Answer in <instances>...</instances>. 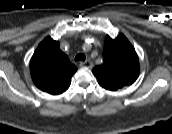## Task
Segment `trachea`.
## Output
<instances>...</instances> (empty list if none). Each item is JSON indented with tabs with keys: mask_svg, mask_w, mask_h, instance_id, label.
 <instances>
[{
	"mask_svg": "<svg viewBox=\"0 0 172 134\" xmlns=\"http://www.w3.org/2000/svg\"><path fill=\"white\" fill-rule=\"evenodd\" d=\"M85 58H86L85 54L79 53L75 56V61H85Z\"/></svg>",
	"mask_w": 172,
	"mask_h": 134,
	"instance_id": "3493384b",
	"label": "trachea"
}]
</instances>
